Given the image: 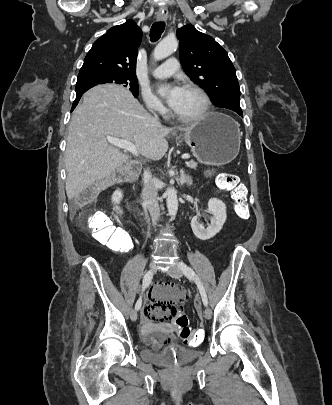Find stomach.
I'll return each mask as SVG.
<instances>
[{
	"mask_svg": "<svg viewBox=\"0 0 332 405\" xmlns=\"http://www.w3.org/2000/svg\"><path fill=\"white\" fill-rule=\"evenodd\" d=\"M196 159L208 166H220L234 160L240 150L241 133L237 122L217 112L207 113L181 138Z\"/></svg>",
	"mask_w": 332,
	"mask_h": 405,
	"instance_id": "0dacf381",
	"label": "stomach"
}]
</instances>
